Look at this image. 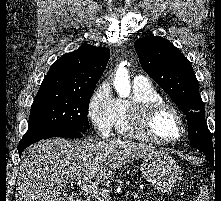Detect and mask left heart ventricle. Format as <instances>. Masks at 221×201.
<instances>
[{
	"label": "left heart ventricle",
	"instance_id": "left-heart-ventricle-1",
	"mask_svg": "<svg viewBox=\"0 0 221 201\" xmlns=\"http://www.w3.org/2000/svg\"><path fill=\"white\" fill-rule=\"evenodd\" d=\"M152 130L160 138L173 139L179 136L181 127L174 114L163 111L154 119Z\"/></svg>",
	"mask_w": 221,
	"mask_h": 201
}]
</instances>
